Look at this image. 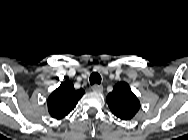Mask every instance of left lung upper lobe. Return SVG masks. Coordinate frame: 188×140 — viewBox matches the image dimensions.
Segmentation results:
<instances>
[{"label": "left lung upper lobe", "instance_id": "obj_1", "mask_svg": "<svg viewBox=\"0 0 188 140\" xmlns=\"http://www.w3.org/2000/svg\"><path fill=\"white\" fill-rule=\"evenodd\" d=\"M111 112L122 120H130L140 109V102L125 82L117 83L107 96Z\"/></svg>", "mask_w": 188, "mask_h": 140}]
</instances>
